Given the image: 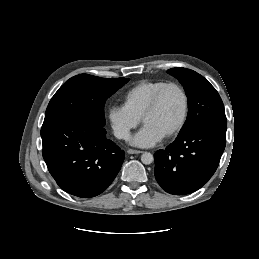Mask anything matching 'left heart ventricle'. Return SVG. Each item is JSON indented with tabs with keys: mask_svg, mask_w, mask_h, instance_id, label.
Wrapping results in <instances>:
<instances>
[{
	"mask_svg": "<svg viewBox=\"0 0 259 259\" xmlns=\"http://www.w3.org/2000/svg\"><path fill=\"white\" fill-rule=\"evenodd\" d=\"M183 111V97L178 89L165 91L158 109L150 115L144 125L164 137L179 122Z\"/></svg>",
	"mask_w": 259,
	"mask_h": 259,
	"instance_id": "obj_1",
	"label": "left heart ventricle"
}]
</instances>
